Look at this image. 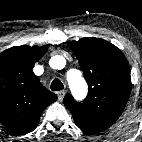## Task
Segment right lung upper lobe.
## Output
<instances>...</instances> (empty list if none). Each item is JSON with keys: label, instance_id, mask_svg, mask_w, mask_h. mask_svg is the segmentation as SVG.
I'll return each mask as SVG.
<instances>
[{"label": "right lung upper lobe", "instance_id": "obj_1", "mask_svg": "<svg viewBox=\"0 0 142 142\" xmlns=\"http://www.w3.org/2000/svg\"><path fill=\"white\" fill-rule=\"evenodd\" d=\"M47 47L15 46L0 53V121L16 132H32L41 113L57 100L33 73Z\"/></svg>", "mask_w": 142, "mask_h": 142}]
</instances>
